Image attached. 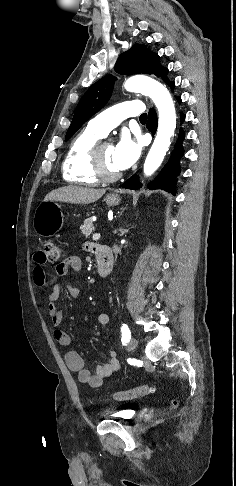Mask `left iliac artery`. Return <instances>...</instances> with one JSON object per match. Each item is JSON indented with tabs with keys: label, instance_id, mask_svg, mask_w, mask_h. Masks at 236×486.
I'll return each instance as SVG.
<instances>
[{
	"label": "left iliac artery",
	"instance_id": "44dca946",
	"mask_svg": "<svg viewBox=\"0 0 236 486\" xmlns=\"http://www.w3.org/2000/svg\"><path fill=\"white\" fill-rule=\"evenodd\" d=\"M121 332H122V344H126L127 342H129V340L131 339V332H130V329L129 327L127 326V324H123L122 327H121Z\"/></svg>",
	"mask_w": 236,
	"mask_h": 486
}]
</instances>
